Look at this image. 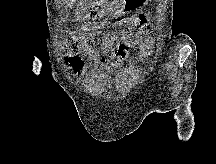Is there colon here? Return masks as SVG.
Wrapping results in <instances>:
<instances>
[{
  "mask_svg": "<svg viewBox=\"0 0 216 164\" xmlns=\"http://www.w3.org/2000/svg\"><path fill=\"white\" fill-rule=\"evenodd\" d=\"M63 44L68 53L72 55V57L67 58V62L78 70L82 66V60L76 55L91 48V42L72 34L64 39Z\"/></svg>",
  "mask_w": 216,
  "mask_h": 164,
  "instance_id": "obj_1",
  "label": "colon"
}]
</instances>
